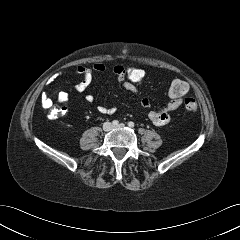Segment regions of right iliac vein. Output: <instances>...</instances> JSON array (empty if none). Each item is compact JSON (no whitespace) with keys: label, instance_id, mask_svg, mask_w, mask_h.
<instances>
[{"label":"right iliac vein","instance_id":"right-iliac-vein-1","mask_svg":"<svg viewBox=\"0 0 240 240\" xmlns=\"http://www.w3.org/2000/svg\"><path fill=\"white\" fill-rule=\"evenodd\" d=\"M111 128H112V124L110 122H105L103 124V130L104 131H109V130H111Z\"/></svg>","mask_w":240,"mask_h":240}]
</instances>
